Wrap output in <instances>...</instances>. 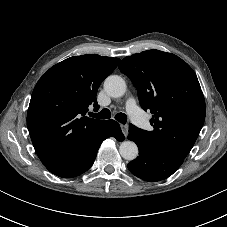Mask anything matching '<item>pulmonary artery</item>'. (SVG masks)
<instances>
[{
  "mask_svg": "<svg viewBox=\"0 0 227 227\" xmlns=\"http://www.w3.org/2000/svg\"><path fill=\"white\" fill-rule=\"evenodd\" d=\"M126 109L132 120L140 126H145L142 114L134 98H129L126 102Z\"/></svg>",
  "mask_w": 227,
  "mask_h": 227,
  "instance_id": "obj_1",
  "label": "pulmonary artery"
}]
</instances>
